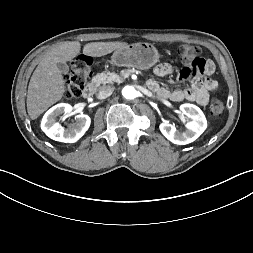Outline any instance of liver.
Masks as SVG:
<instances>
[{
  "label": "liver",
  "instance_id": "obj_1",
  "mask_svg": "<svg viewBox=\"0 0 253 253\" xmlns=\"http://www.w3.org/2000/svg\"><path fill=\"white\" fill-rule=\"evenodd\" d=\"M128 46L126 42H91L84 45L83 53L101 57L114 50ZM78 41L63 42L48 51L30 79L27 92V111L32 120L59 101L65 92V81L57 67L59 62H67L80 53Z\"/></svg>",
  "mask_w": 253,
  "mask_h": 253
}]
</instances>
